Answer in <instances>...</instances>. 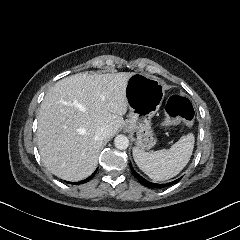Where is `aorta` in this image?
Listing matches in <instances>:
<instances>
[{"label": "aorta", "instance_id": "obj_1", "mask_svg": "<svg viewBox=\"0 0 240 240\" xmlns=\"http://www.w3.org/2000/svg\"><path fill=\"white\" fill-rule=\"evenodd\" d=\"M114 144L117 149L125 150L129 145V140L125 135H117L114 139Z\"/></svg>", "mask_w": 240, "mask_h": 240}]
</instances>
